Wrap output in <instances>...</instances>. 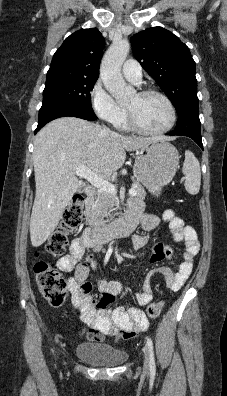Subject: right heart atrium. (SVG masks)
Here are the masks:
<instances>
[{"mask_svg": "<svg viewBox=\"0 0 227 396\" xmlns=\"http://www.w3.org/2000/svg\"><path fill=\"white\" fill-rule=\"evenodd\" d=\"M90 101L94 113L110 124H116L125 113L124 108L116 103L100 81L92 87Z\"/></svg>", "mask_w": 227, "mask_h": 396, "instance_id": "1", "label": "right heart atrium"}]
</instances>
